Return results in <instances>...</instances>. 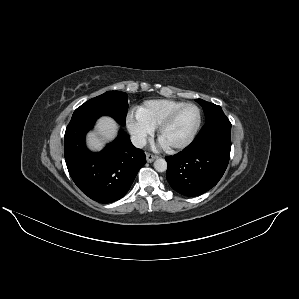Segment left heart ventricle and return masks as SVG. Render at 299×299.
I'll list each match as a JSON object with an SVG mask.
<instances>
[{
	"label": "left heart ventricle",
	"mask_w": 299,
	"mask_h": 299,
	"mask_svg": "<svg viewBox=\"0 0 299 299\" xmlns=\"http://www.w3.org/2000/svg\"><path fill=\"white\" fill-rule=\"evenodd\" d=\"M198 120V112L195 107L182 109L173 122L163 131L161 140L166 145L180 143L192 133Z\"/></svg>",
	"instance_id": "b2bd125f"
}]
</instances>
